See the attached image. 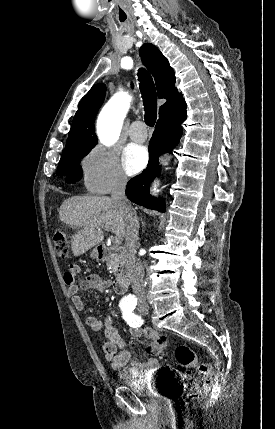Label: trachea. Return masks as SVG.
<instances>
[{"label":"trachea","mask_w":275,"mask_h":429,"mask_svg":"<svg viewBox=\"0 0 275 429\" xmlns=\"http://www.w3.org/2000/svg\"><path fill=\"white\" fill-rule=\"evenodd\" d=\"M139 87L145 110V123L153 127L157 119V96L155 85L150 74L140 68L138 71Z\"/></svg>","instance_id":"trachea-1"}]
</instances>
